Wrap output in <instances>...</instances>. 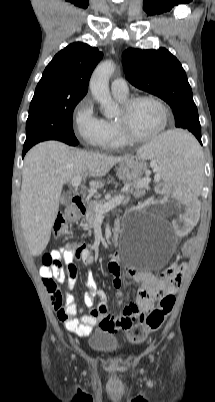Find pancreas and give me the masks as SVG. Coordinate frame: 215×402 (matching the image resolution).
<instances>
[{"label": "pancreas", "mask_w": 215, "mask_h": 402, "mask_svg": "<svg viewBox=\"0 0 215 402\" xmlns=\"http://www.w3.org/2000/svg\"><path fill=\"white\" fill-rule=\"evenodd\" d=\"M126 187H127V190H126V198H125V200L123 201V204H124V205L127 204V203L129 202V200H130L129 194H134L135 196H140V195L143 194V192H144V190L140 189V187H139V182H138V181H137V182H131V183L126 184ZM105 203H106L105 200H101V201L96 202L95 204H96V205H97V204L103 205V204H105ZM95 204H90V205L87 207L86 216H85V218H84L85 221H86V226H91V225H93V224H94V221H95V219H96V217H97L96 212H95Z\"/></svg>", "instance_id": "obj_1"}]
</instances>
